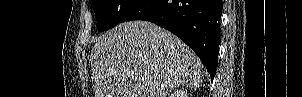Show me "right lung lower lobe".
Wrapping results in <instances>:
<instances>
[{"instance_id": "right-lung-lower-lobe-1", "label": "right lung lower lobe", "mask_w": 302, "mask_h": 97, "mask_svg": "<svg viewBox=\"0 0 302 97\" xmlns=\"http://www.w3.org/2000/svg\"><path fill=\"white\" fill-rule=\"evenodd\" d=\"M222 8V0H141L122 22L146 20L174 33L194 50L213 79Z\"/></svg>"}]
</instances>
